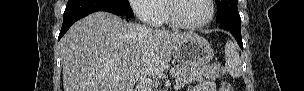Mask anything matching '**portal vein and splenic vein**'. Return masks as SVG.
Returning <instances> with one entry per match:
<instances>
[{
    "label": "portal vein and splenic vein",
    "instance_id": "18ae733b",
    "mask_svg": "<svg viewBox=\"0 0 304 91\" xmlns=\"http://www.w3.org/2000/svg\"><path fill=\"white\" fill-rule=\"evenodd\" d=\"M148 82H150V83H151L152 81L150 80V81H148ZM179 87H180V85H179L178 83H176L175 88H176V89H178Z\"/></svg>",
    "mask_w": 304,
    "mask_h": 91
}]
</instances>
